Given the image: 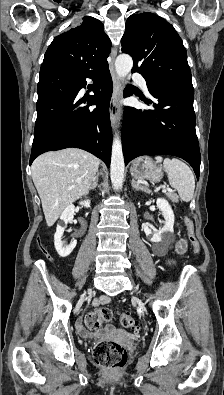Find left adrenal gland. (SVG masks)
I'll return each mask as SVG.
<instances>
[{
    "instance_id": "a2214340",
    "label": "left adrenal gland",
    "mask_w": 224,
    "mask_h": 395,
    "mask_svg": "<svg viewBox=\"0 0 224 395\" xmlns=\"http://www.w3.org/2000/svg\"><path fill=\"white\" fill-rule=\"evenodd\" d=\"M131 185H132V188H133V189L142 190V191L147 192V193H150V192H151L147 187H144V186H142V185H139V184L135 181V179H132Z\"/></svg>"
}]
</instances>
